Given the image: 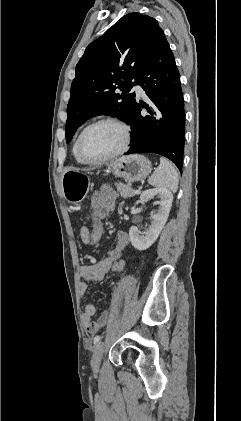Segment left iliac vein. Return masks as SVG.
Returning <instances> with one entry per match:
<instances>
[{
	"instance_id": "1",
	"label": "left iliac vein",
	"mask_w": 241,
	"mask_h": 421,
	"mask_svg": "<svg viewBox=\"0 0 241 421\" xmlns=\"http://www.w3.org/2000/svg\"><path fill=\"white\" fill-rule=\"evenodd\" d=\"M103 353H104V343L100 342L96 345L94 351H93V356L91 359V366L93 368V370L97 371L100 367L101 364V360L103 357Z\"/></svg>"
}]
</instances>
